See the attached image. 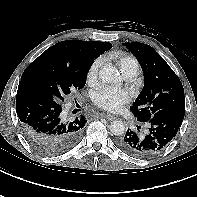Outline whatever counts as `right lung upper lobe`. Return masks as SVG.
<instances>
[{
    "mask_svg": "<svg viewBox=\"0 0 197 197\" xmlns=\"http://www.w3.org/2000/svg\"><path fill=\"white\" fill-rule=\"evenodd\" d=\"M111 47L112 44L107 42L67 40L51 46L44 54L59 63L78 67L86 63H93L95 58Z\"/></svg>",
    "mask_w": 197,
    "mask_h": 197,
    "instance_id": "cb5924a9",
    "label": "right lung upper lobe"
}]
</instances>
